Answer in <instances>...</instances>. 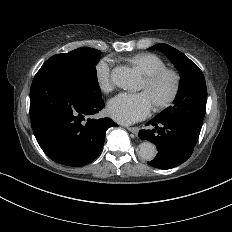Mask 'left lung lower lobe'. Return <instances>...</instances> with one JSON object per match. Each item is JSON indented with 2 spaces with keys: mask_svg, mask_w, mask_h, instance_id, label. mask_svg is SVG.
Returning <instances> with one entry per match:
<instances>
[{
  "mask_svg": "<svg viewBox=\"0 0 232 232\" xmlns=\"http://www.w3.org/2000/svg\"><path fill=\"white\" fill-rule=\"evenodd\" d=\"M147 124L154 126L152 130H140L139 138L154 143L158 154L148 162L159 169H170L185 162L192 154L199 133L185 124L175 120L154 118Z\"/></svg>",
  "mask_w": 232,
  "mask_h": 232,
  "instance_id": "obj_1",
  "label": "left lung lower lobe"
}]
</instances>
